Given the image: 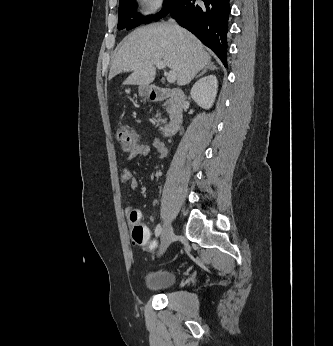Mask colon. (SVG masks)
<instances>
[{
	"mask_svg": "<svg viewBox=\"0 0 333 346\" xmlns=\"http://www.w3.org/2000/svg\"><path fill=\"white\" fill-rule=\"evenodd\" d=\"M116 138L120 147L127 152L133 151L139 145L138 133L128 126L120 127L117 130ZM129 220L131 223L132 243L136 246L144 244L145 247L150 249L155 247L157 236L151 234L153 231L152 226H144L139 223V212L137 210H131ZM150 251L152 252L153 250L151 249Z\"/></svg>",
	"mask_w": 333,
	"mask_h": 346,
	"instance_id": "1",
	"label": "colon"
}]
</instances>
